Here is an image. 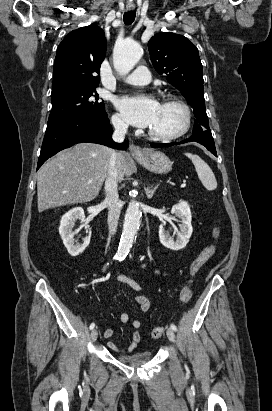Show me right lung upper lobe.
<instances>
[{
  "label": "right lung upper lobe",
  "mask_w": 272,
  "mask_h": 411,
  "mask_svg": "<svg viewBox=\"0 0 272 411\" xmlns=\"http://www.w3.org/2000/svg\"><path fill=\"white\" fill-rule=\"evenodd\" d=\"M104 31L97 25L70 32L60 43L53 68L51 97L99 85L100 65L106 54Z\"/></svg>",
  "instance_id": "1"
}]
</instances>
